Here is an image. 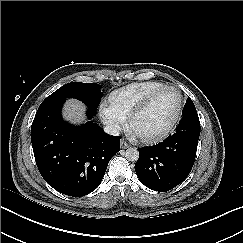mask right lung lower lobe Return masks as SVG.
<instances>
[{
	"label": "right lung lower lobe",
	"instance_id": "right-lung-lower-lobe-1",
	"mask_svg": "<svg viewBox=\"0 0 243 243\" xmlns=\"http://www.w3.org/2000/svg\"><path fill=\"white\" fill-rule=\"evenodd\" d=\"M65 100L41 104L31 126L35 161L44 180L68 196L81 197L101 183L110 159L120 151V137L109 136L88 121H63ZM88 119L94 116L87 112Z\"/></svg>",
	"mask_w": 243,
	"mask_h": 243
}]
</instances>
